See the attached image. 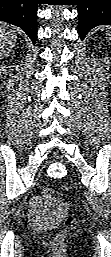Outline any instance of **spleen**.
Here are the masks:
<instances>
[{
  "label": "spleen",
  "instance_id": "spleen-1",
  "mask_svg": "<svg viewBox=\"0 0 111 257\" xmlns=\"http://www.w3.org/2000/svg\"><path fill=\"white\" fill-rule=\"evenodd\" d=\"M107 39L111 42V27L107 29Z\"/></svg>",
  "mask_w": 111,
  "mask_h": 257
}]
</instances>
